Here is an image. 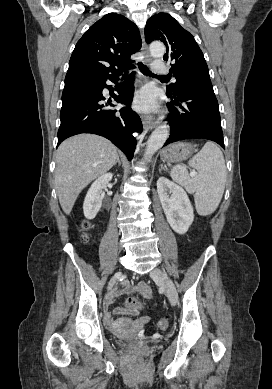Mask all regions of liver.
Instances as JSON below:
<instances>
[{"mask_svg":"<svg viewBox=\"0 0 272 389\" xmlns=\"http://www.w3.org/2000/svg\"><path fill=\"white\" fill-rule=\"evenodd\" d=\"M117 157V148L98 135L80 134L61 143L56 154L55 185L66 214H70L80 192L109 171Z\"/></svg>","mask_w":272,"mask_h":389,"instance_id":"1","label":"liver"}]
</instances>
